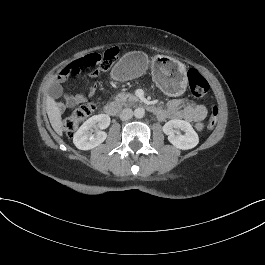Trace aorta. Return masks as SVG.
Returning <instances> with one entry per match:
<instances>
[{"label": "aorta", "mask_w": 265, "mask_h": 265, "mask_svg": "<svg viewBox=\"0 0 265 265\" xmlns=\"http://www.w3.org/2000/svg\"><path fill=\"white\" fill-rule=\"evenodd\" d=\"M145 115V110L142 107H138L134 110V116L136 118H143Z\"/></svg>", "instance_id": "1"}]
</instances>
